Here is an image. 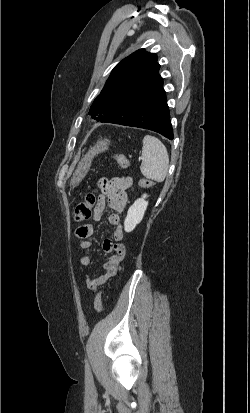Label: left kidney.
<instances>
[{"label":"left kidney","instance_id":"left-kidney-1","mask_svg":"<svg viewBox=\"0 0 250 413\" xmlns=\"http://www.w3.org/2000/svg\"><path fill=\"white\" fill-rule=\"evenodd\" d=\"M147 195L144 194L141 198L137 199L133 205L128 209L127 216L124 221V230L131 232L139 224L145 214L148 206V202L145 200Z\"/></svg>","mask_w":250,"mask_h":413}]
</instances>
